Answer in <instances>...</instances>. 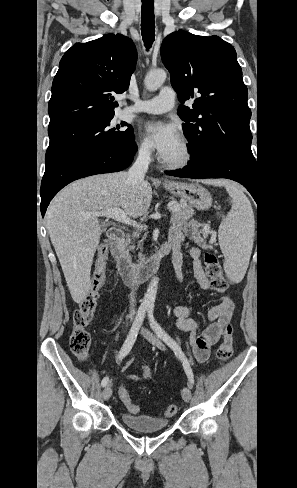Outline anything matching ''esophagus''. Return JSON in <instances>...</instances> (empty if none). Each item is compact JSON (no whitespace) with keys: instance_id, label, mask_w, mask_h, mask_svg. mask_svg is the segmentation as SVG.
Here are the masks:
<instances>
[{"instance_id":"34e87169","label":"esophagus","mask_w":297,"mask_h":488,"mask_svg":"<svg viewBox=\"0 0 297 488\" xmlns=\"http://www.w3.org/2000/svg\"><path fill=\"white\" fill-rule=\"evenodd\" d=\"M164 183H165V184H169L170 182H169V181H167V180H165V181H164Z\"/></svg>"}]
</instances>
